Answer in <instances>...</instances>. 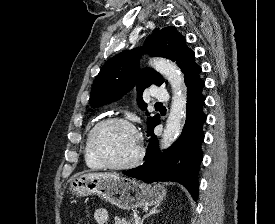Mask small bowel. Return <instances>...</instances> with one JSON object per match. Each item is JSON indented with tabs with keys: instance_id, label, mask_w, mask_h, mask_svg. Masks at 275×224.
<instances>
[{
	"instance_id": "c3829d8e",
	"label": "small bowel",
	"mask_w": 275,
	"mask_h": 224,
	"mask_svg": "<svg viewBox=\"0 0 275 224\" xmlns=\"http://www.w3.org/2000/svg\"><path fill=\"white\" fill-rule=\"evenodd\" d=\"M94 219L97 224H109V213L104 208H99L94 213Z\"/></svg>"
}]
</instances>
